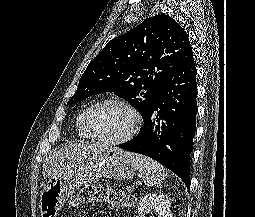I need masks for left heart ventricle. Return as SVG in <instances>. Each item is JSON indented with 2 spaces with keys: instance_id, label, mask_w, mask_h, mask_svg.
<instances>
[{
  "instance_id": "obj_1",
  "label": "left heart ventricle",
  "mask_w": 255,
  "mask_h": 217,
  "mask_svg": "<svg viewBox=\"0 0 255 217\" xmlns=\"http://www.w3.org/2000/svg\"><path fill=\"white\" fill-rule=\"evenodd\" d=\"M133 123L131 113L116 104L96 107L90 114L92 130L102 138L114 140L125 135Z\"/></svg>"
}]
</instances>
